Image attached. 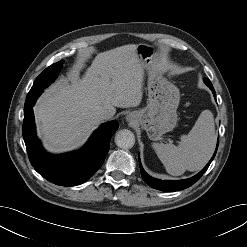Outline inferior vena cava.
<instances>
[{"instance_id": "1", "label": "inferior vena cava", "mask_w": 247, "mask_h": 247, "mask_svg": "<svg viewBox=\"0 0 247 247\" xmlns=\"http://www.w3.org/2000/svg\"><path fill=\"white\" fill-rule=\"evenodd\" d=\"M98 117L101 119V120H108L112 117V114L107 111V110H102L98 113Z\"/></svg>"}]
</instances>
